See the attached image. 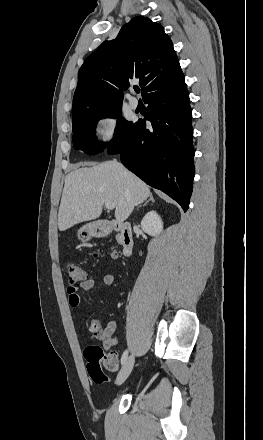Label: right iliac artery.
Instances as JSON below:
<instances>
[{"mask_svg": "<svg viewBox=\"0 0 263 440\" xmlns=\"http://www.w3.org/2000/svg\"><path fill=\"white\" fill-rule=\"evenodd\" d=\"M127 356H128V351L125 350V351L123 352V354H122V357H121V364H124V363H125V361H126V359H127Z\"/></svg>", "mask_w": 263, "mask_h": 440, "instance_id": "1", "label": "right iliac artery"}]
</instances>
